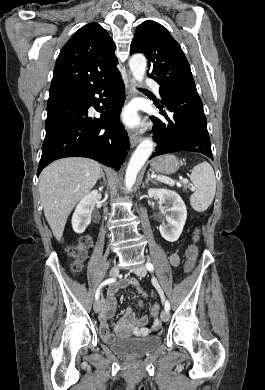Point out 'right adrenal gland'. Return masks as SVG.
<instances>
[{
  "label": "right adrenal gland",
  "mask_w": 265,
  "mask_h": 390,
  "mask_svg": "<svg viewBox=\"0 0 265 390\" xmlns=\"http://www.w3.org/2000/svg\"><path fill=\"white\" fill-rule=\"evenodd\" d=\"M101 178H103L104 182H106V178H105V175H104V172L102 169H101V174H100L99 180H101Z\"/></svg>",
  "instance_id": "2a0ac1e0"
}]
</instances>
